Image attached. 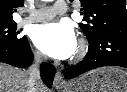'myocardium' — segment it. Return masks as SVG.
<instances>
[{
    "label": "myocardium",
    "instance_id": "obj_1",
    "mask_svg": "<svg viewBox=\"0 0 127 92\" xmlns=\"http://www.w3.org/2000/svg\"><path fill=\"white\" fill-rule=\"evenodd\" d=\"M86 51H87V44L85 41L81 40L77 47V50L74 56V60L81 59L85 55Z\"/></svg>",
    "mask_w": 127,
    "mask_h": 92
}]
</instances>
